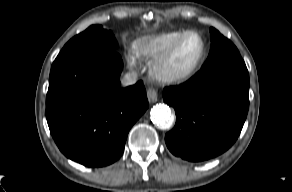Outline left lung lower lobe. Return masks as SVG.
Segmentation results:
<instances>
[{
	"label": "left lung lower lobe",
	"mask_w": 292,
	"mask_h": 192,
	"mask_svg": "<svg viewBox=\"0 0 292 192\" xmlns=\"http://www.w3.org/2000/svg\"><path fill=\"white\" fill-rule=\"evenodd\" d=\"M248 92L245 63L203 69L179 86L166 87L164 100L176 113L175 127L165 135L168 149L193 162L225 152L245 122Z\"/></svg>",
	"instance_id": "1"
}]
</instances>
